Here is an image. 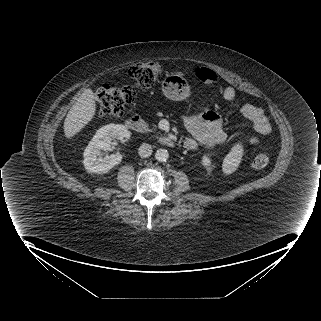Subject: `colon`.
Instances as JSON below:
<instances>
[{
    "instance_id": "colon-1",
    "label": "colon",
    "mask_w": 321,
    "mask_h": 321,
    "mask_svg": "<svg viewBox=\"0 0 321 321\" xmlns=\"http://www.w3.org/2000/svg\"><path fill=\"white\" fill-rule=\"evenodd\" d=\"M162 72L163 68L160 63H139L129 70V75L134 81L133 85L123 87L104 85L97 89L94 98L100 115L103 117H120L123 114L125 105L135 99L137 91L151 88ZM196 76L205 85H214L218 80L217 74L207 67H198ZM268 163L269 156L264 153L259 154L253 160V167L263 169Z\"/></svg>"
}]
</instances>
